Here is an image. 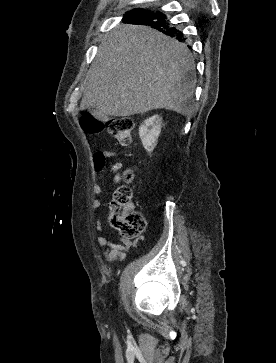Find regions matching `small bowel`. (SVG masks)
Masks as SVG:
<instances>
[{"label":"small bowel","instance_id":"obj_1","mask_svg":"<svg viewBox=\"0 0 276 363\" xmlns=\"http://www.w3.org/2000/svg\"><path fill=\"white\" fill-rule=\"evenodd\" d=\"M119 155L114 151H99L96 152L93 156V168H94V184L92 186V192L94 198L92 200L93 208H99L102 204L99 195H101L104 191L102 182L104 180L103 171L106 167V162L109 158H117ZM124 168V164L121 162H116L111 166V170L114 172H118ZM122 180V176L120 174H116L112 181L114 183H118ZM97 229L102 232L101 219L98 218L96 220ZM97 242L99 245L103 246L104 252L103 255L107 261L111 262L114 260L122 261L125 258V251L130 247V242L128 240L121 239L119 242H112L106 236H98Z\"/></svg>","mask_w":276,"mask_h":363}]
</instances>
